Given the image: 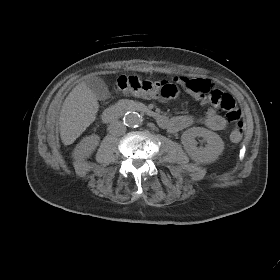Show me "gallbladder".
Instances as JSON below:
<instances>
[{
	"label": "gallbladder",
	"instance_id": "gallbladder-1",
	"mask_svg": "<svg viewBox=\"0 0 280 280\" xmlns=\"http://www.w3.org/2000/svg\"><path fill=\"white\" fill-rule=\"evenodd\" d=\"M86 85L93 91L98 100L104 101L109 98L108 87L102 78L90 77L86 80Z\"/></svg>",
	"mask_w": 280,
	"mask_h": 280
}]
</instances>
